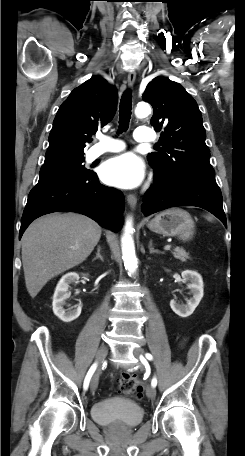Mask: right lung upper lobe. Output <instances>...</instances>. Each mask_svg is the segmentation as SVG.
Masks as SVG:
<instances>
[{
    "mask_svg": "<svg viewBox=\"0 0 245 456\" xmlns=\"http://www.w3.org/2000/svg\"><path fill=\"white\" fill-rule=\"evenodd\" d=\"M116 106L115 89L100 76L75 88L56 114L42 168L84 158L85 143L113 118Z\"/></svg>",
    "mask_w": 245,
    "mask_h": 456,
    "instance_id": "cb5924a9",
    "label": "right lung upper lobe"
}]
</instances>
